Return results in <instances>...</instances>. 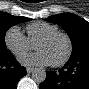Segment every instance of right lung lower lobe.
Wrapping results in <instances>:
<instances>
[{"label": "right lung lower lobe", "mask_w": 89, "mask_h": 89, "mask_svg": "<svg viewBox=\"0 0 89 89\" xmlns=\"http://www.w3.org/2000/svg\"><path fill=\"white\" fill-rule=\"evenodd\" d=\"M26 75V69L17 62L10 51L0 54V89H15Z\"/></svg>", "instance_id": "obj_1"}]
</instances>
